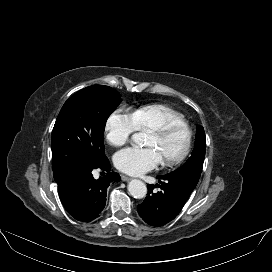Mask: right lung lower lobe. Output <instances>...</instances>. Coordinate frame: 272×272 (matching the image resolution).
<instances>
[{
  "instance_id": "1",
  "label": "right lung lower lobe",
  "mask_w": 272,
  "mask_h": 272,
  "mask_svg": "<svg viewBox=\"0 0 272 272\" xmlns=\"http://www.w3.org/2000/svg\"><path fill=\"white\" fill-rule=\"evenodd\" d=\"M107 171L104 177L94 179L93 169ZM111 166L106 158L98 165L82 168L58 184L61 202L67 212L76 220L89 222L99 217L106 204L107 188L111 182L120 181L116 172H110Z\"/></svg>"
}]
</instances>
